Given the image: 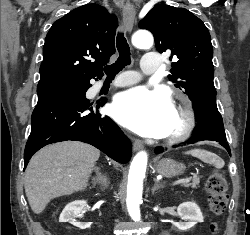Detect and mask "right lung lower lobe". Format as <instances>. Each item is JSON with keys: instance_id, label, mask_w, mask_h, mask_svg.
Listing matches in <instances>:
<instances>
[{"instance_id": "right-lung-lower-lobe-1", "label": "right lung lower lobe", "mask_w": 250, "mask_h": 235, "mask_svg": "<svg viewBox=\"0 0 250 235\" xmlns=\"http://www.w3.org/2000/svg\"><path fill=\"white\" fill-rule=\"evenodd\" d=\"M90 87L89 82H80L38 92L24 152V167L40 148L66 140L89 143L120 163L130 160L129 139L108 116L99 114L98 108L106 99L96 103L95 111L86 99Z\"/></svg>"}]
</instances>
